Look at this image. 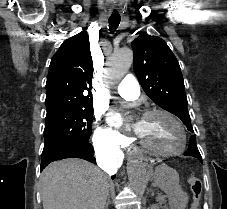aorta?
Masks as SVG:
<instances>
[{
  "label": "aorta",
  "instance_id": "762f6f07",
  "mask_svg": "<svg viewBox=\"0 0 227 209\" xmlns=\"http://www.w3.org/2000/svg\"><path fill=\"white\" fill-rule=\"evenodd\" d=\"M133 62V52L128 48L114 52L107 61L104 70L105 83L112 84L121 79L130 69ZM127 174L130 185L139 195H143L147 185V164L143 156L138 152H133L127 161Z\"/></svg>",
  "mask_w": 227,
  "mask_h": 209
}]
</instances>
